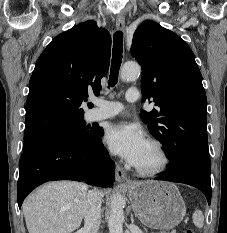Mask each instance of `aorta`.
Listing matches in <instances>:
<instances>
[{"instance_id": "1", "label": "aorta", "mask_w": 227, "mask_h": 233, "mask_svg": "<svg viewBox=\"0 0 227 233\" xmlns=\"http://www.w3.org/2000/svg\"><path fill=\"white\" fill-rule=\"evenodd\" d=\"M141 73V67L135 62L125 63L121 69L120 77L123 81L136 80ZM124 199L120 194L113 197L111 211L108 219L109 233H123Z\"/></svg>"}]
</instances>
